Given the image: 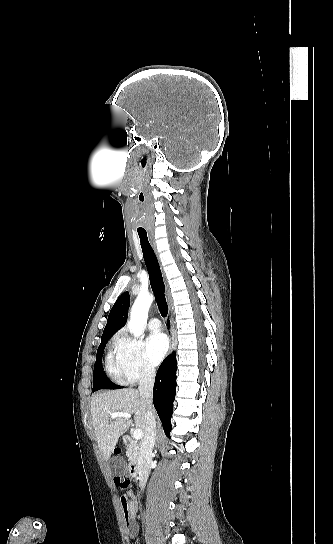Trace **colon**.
I'll use <instances>...</instances> for the list:
<instances>
[{"label": "colon", "mask_w": 333, "mask_h": 544, "mask_svg": "<svg viewBox=\"0 0 333 544\" xmlns=\"http://www.w3.org/2000/svg\"><path fill=\"white\" fill-rule=\"evenodd\" d=\"M119 452V449L115 450V453ZM115 484L119 489H127L131 486V480L126 476H119L115 478Z\"/></svg>", "instance_id": "5ec220e1"}]
</instances>
